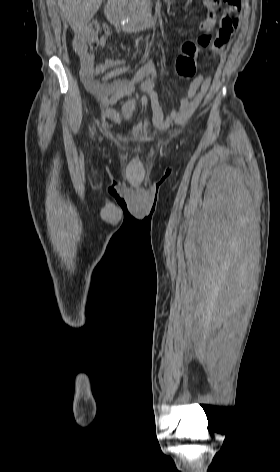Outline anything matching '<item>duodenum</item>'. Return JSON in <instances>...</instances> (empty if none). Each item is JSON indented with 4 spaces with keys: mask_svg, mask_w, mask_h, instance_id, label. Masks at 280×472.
Segmentation results:
<instances>
[{
    "mask_svg": "<svg viewBox=\"0 0 280 472\" xmlns=\"http://www.w3.org/2000/svg\"><path fill=\"white\" fill-rule=\"evenodd\" d=\"M105 16L110 23L127 32H137L152 27L157 21L154 11L144 8H132L120 2L109 0L105 6Z\"/></svg>",
    "mask_w": 280,
    "mask_h": 472,
    "instance_id": "410a0bca",
    "label": "duodenum"
}]
</instances>
